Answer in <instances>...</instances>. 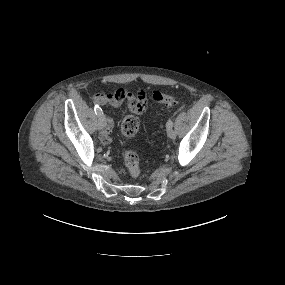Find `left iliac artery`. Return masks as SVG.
<instances>
[{"label": "left iliac artery", "instance_id": "left-iliac-artery-1", "mask_svg": "<svg viewBox=\"0 0 285 285\" xmlns=\"http://www.w3.org/2000/svg\"><path fill=\"white\" fill-rule=\"evenodd\" d=\"M166 126L167 128H170L173 126V122L171 120H169L167 123H166Z\"/></svg>", "mask_w": 285, "mask_h": 285}]
</instances>
